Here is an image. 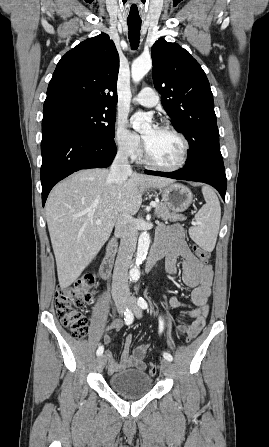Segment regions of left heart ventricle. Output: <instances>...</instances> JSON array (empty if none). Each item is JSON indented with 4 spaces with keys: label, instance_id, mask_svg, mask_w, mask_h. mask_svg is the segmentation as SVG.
Listing matches in <instances>:
<instances>
[{
    "label": "left heart ventricle",
    "instance_id": "obj_1",
    "mask_svg": "<svg viewBox=\"0 0 269 447\" xmlns=\"http://www.w3.org/2000/svg\"><path fill=\"white\" fill-rule=\"evenodd\" d=\"M142 134L154 161L168 166L178 163L183 151V142L178 135L153 125Z\"/></svg>",
    "mask_w": 269,
    "mask_h": 447
}]
</instances>
